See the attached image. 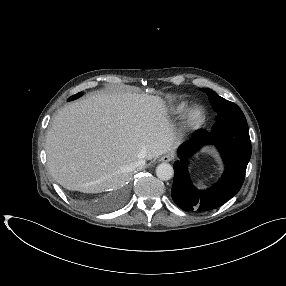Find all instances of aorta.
<instances>
[{
  "label": "aorta",
  "instance_id": "762f6f07",
  "mask_svg": "<svg viewBox=\"0 0 286 286\" xmlns=\"http://www.w3.org/2000/svg\"><path fill=\"white\" fill-rule=\"evenodd\" d=\"M173 167L168 163H161L156 167V176L163 181L170 180L173 177Z\"/></svg>",
  "mask_w": 286,
  "mask_h": 286
}]
</instances>
